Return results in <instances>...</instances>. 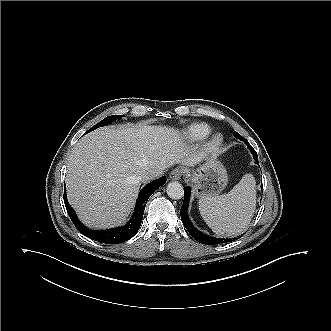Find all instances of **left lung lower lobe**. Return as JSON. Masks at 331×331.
I'll use <instances>...</instances> for the list:
<instances>
[{"label": "left lung lower lobe", "instance_id": "obj_1", "mask_svg": "<svg viewBox=\"0 0 331 331\" xmlns=\"http://www.w3.org/2000/svg\"><path fill=\"white\" fill-rule=\"evenodd\" d=\"M234 136L236 138H238L239 140L243 141L244 143H246V145L250 149V151L257 156L253 147L241 135L236 134ZM256 163H258V162H256ZM190 192H191V189L189 186H187L184 191V202H183V205L180 210L182 222H183L184 226L186 227V229L188 230V232L190 233V235L198 242H200L202 244H207V245H215V244L231 242L232 239L215 238V237L208 236V235L198 231L193 226V224L191 223V221L188 217V214H187L188 205H189V201H190ZM238 238H240V236ZM233 240H236V238H233Z\"/></svg>", "mask_w": 331, "mask_h": 331}]
</instances>
